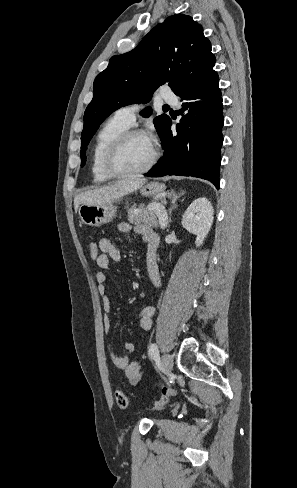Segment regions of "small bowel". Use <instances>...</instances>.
<instances>
[{
    "label": "small bowel",
    "mask_w": 297,
    "mask_h": 488,
    "mask_svg": "<svg viewBox=\"0 0 297 488\" xmlns=\"http://www.w3.org/2000/svg\"><path fill=\"white\" fill-rule=\"evenodd\" d=\"M118 230L121 233H128L132 227L128 223H120ZM134 232L138 234L142 241L147 244V268L149 278L155 287H160L161 276L157 261V248L159 244L158 235L149 227L144 225H137L133 228ZM100 254L96 260L97 266L100 270L96 273L95 278L98 284V291L102 297L103 317L105 329L108 330L111 325V302L107 294V276L104 272L109 268L111 261H119L121 258L119 249L115 246L113 241L109 238H101L98 242ZM156 308L154 306H146L142 308L137 315V322L143 330H149L152 327V320L155 315ZM133 345L131 343L123 344V353L118 354L110 349V359L123 375L131 382L137 384L142 377V363L140 360H132L131 354Z\"/></svg>",
    "instance_id": "small-bowel-1"
}]
</instances>
